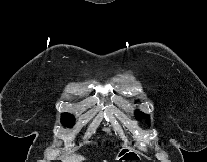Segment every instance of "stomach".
Returning <instances> with one entry per match:
<instances>
[{"instance_id": "1", "label": "stomach", "mask_w": 207, "mask_h": 162, "mask_svg": "<svg viewBox=\"0 0 207 162\" xmlns=\"http://www.w3.org/2000/svg\"><path fill=\"white\" fill-rule=\"evenodd\" d=\"M117 162H139L141 160L139 155L130 148H122L116 155Z\"/></svg>"}]
</instances>
